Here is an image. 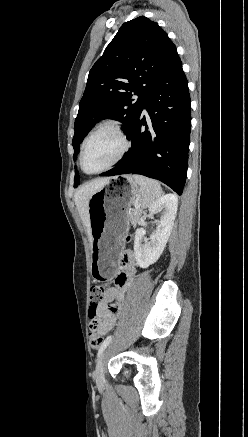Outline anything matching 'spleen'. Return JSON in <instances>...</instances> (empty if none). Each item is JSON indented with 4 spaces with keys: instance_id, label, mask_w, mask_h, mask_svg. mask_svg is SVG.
Listing matches in <instances>:
<instances>
[{
    "instance_id": "obj_1",
    "label": "spleen",
    "mask_w": 248,
    "mask_h": 437,
    "mask_svg": "<svg viewBox=\"0 0 248 437\" xmlns=\"http://www.w3.org/2000/svg\"><path fill=\"white\" fill-rule=\"evenodd\" d=\"M133 179L140 186V205L150 207L162 194L160 184L153 179L141 175H133Z\"/></svg>"
}]
</instances>
